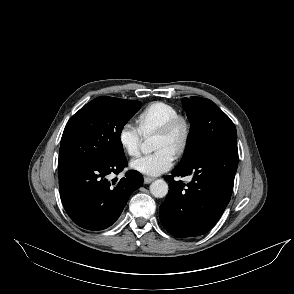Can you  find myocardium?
Returning <instances> with one entry per match:
<instances>
[{"instance_id":"f54148a6","label":"myocardium","mask_w":294,"mask_h":294,"mask_svg":"<svg viewBox=\"0 0 294 294\" xmlns=\"http://www.w3.org/2000/svg\"><path fill=\"white\" fill-rule=\"evenodd\" d=\"M177 132L180 133V138L174 148V154L182 156L187 151L192 136V126L187 118L179 115L166 122L156 131L157 134L166 136H172Z\"/></svg>"}]
</instances>
